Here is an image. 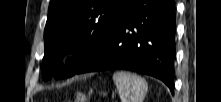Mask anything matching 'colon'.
I'll return each instance as SVG.
<instances>
[{"label": "colon", "instance_id": "5ec220e1", "mask_svg": "<svg viewBox=\"0 0 221 102\" xmlns=\"http://www.w3.org/2000/svg\"><path fill=\"white\" fill-rule=\"evenodd\" d=\"M86 101V97L84 94L79 93L76 96L75 102H85Z\"/></svg>", "mask_w": 221, "mask_h": 102}]
</instances>
